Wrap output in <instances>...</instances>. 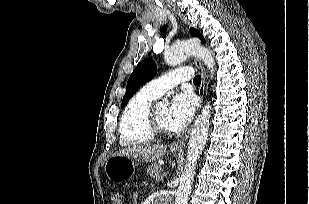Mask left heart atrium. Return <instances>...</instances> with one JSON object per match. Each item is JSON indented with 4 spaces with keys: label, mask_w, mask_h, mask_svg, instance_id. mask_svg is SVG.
<instances>
[{
    "label": "left heart atrium",
    "mask_w": 309,
    "mask_h": 204,
    "mask_svg": "<svg viewBox=\"0 0 309 204\" xmlns=\"http://www.w3.org/2000/svg\"><path fill=\"white\" fill-rule=\"evenodd\" d=\"M196 110L195 97L191 93H179L174 96L168 113L170 129L181 130L192 120Z\"/></svg>",
    "instance_id": "obj_1"
}]
</instances>
